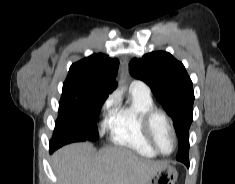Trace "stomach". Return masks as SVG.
<instances>
[{"mask_svg": "<svg viewBox=\"0 0 235 184\" xmlns=\"http://www.w3.org/2000/svg\"><path fill=\"white\" fill-rule=\"evenodd\" d=\"M178 172L170 164H164L163 168L155 172L153 178L148 184H175L177 182Z\"/></svg>", "mask_w": 235, "mask_h": 184, "instance_id": "1", "label": "stomach"}]
</instances>
